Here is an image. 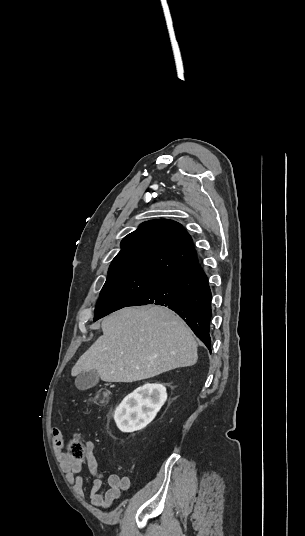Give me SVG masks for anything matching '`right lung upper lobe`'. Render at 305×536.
I'll return each instance as SVG.
<instances>
[{
  "label": "right lung upper lobe",
  "instance_id": "obj_1",
  "mask_svg": "<svg viewBox=\"0 0 305 536\" xmlns=\"http://www.w3.org/2000/svg\"><path fill=\"white\" fill-rule=\"evenodd\" d=\"M198 262L190 235L167 219L142 223L121 242L108 277L130 274L168 276Z\"/></svg>",
  "mask_w": 305,
  "mask_h": 536
}]
</instances>
